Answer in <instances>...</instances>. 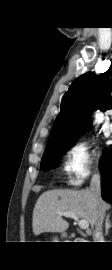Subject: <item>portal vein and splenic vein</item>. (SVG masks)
I'll return each instance as SVG.
<instances>
[{"instance_id": "18ae733b", "label": "portal vein and splenic vein", "mask_w": 112, "mask_h": 270, "mask_svg": "<svg viewBox=\"0 0 112 270\" xmlns=\"http://www.w3.org/2000/svg\"><path fill=\"white\" fill-rule=\"evenodd\" d=\"M62 215L66 216V217H71L72 219L77 221L78 225L81 229H88L89 228V222L86 219L79 220V217L71 211H65L62 213Z\"/></svg>"}]
</instances>
